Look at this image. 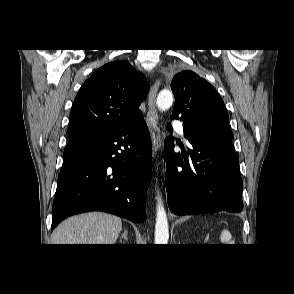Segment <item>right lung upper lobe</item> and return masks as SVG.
<instances>
[{
    "label": "right lung upper lobe",
    "mask_w": 294,
    "mask_h": 294,
    "mask_svg": "<svg viewBox=\"0 0 294 294\" xmlns=\"http://www.w3.org/2000/svg\"><path fill=\"white\" fill-rule=\"evenodd\" d=\"M149 92L145 76L126 61L98 68L80 88L72 107L69 141L118 128L139 115Z\"/></svg>",
    "instance_id": "obj_1"
}]
</instances>
